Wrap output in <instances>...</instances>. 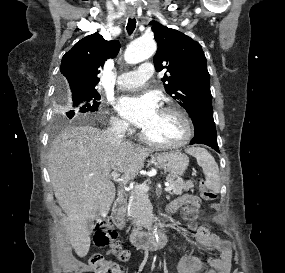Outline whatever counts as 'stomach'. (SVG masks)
<instances>
[{
  "label": "stomach",
  "mask_w": 285,
  "mask_h": 273,
  "mask_svg": "<svg viewBox=\"0 0 285 273\" xmlns=\"http://www.w3.org/2000/svg\"><path fill=\"white\" fill-rule=\"evenodd\" d=\"M154 159L161 168L175 178L182 176L189 164V158L178 151L156 154Z\"/></svg>",
  "instance_id": "1"
}]
</instances>
